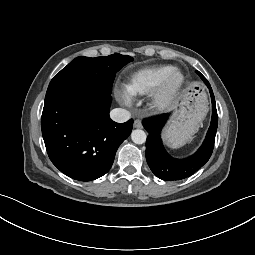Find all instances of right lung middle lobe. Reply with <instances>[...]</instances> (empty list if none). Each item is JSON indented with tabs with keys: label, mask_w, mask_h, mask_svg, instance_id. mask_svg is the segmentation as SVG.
Here are the masks:
<instances>
[{
	"label": "right lung middle lobe",
	"mask_w": 255,
	"mask_h": 255,
	"mask_svg": "<svg viewBox=\"0 0 255 255\" xmlns=\"http://www.w3.org/2000/svg\"><path fill=\"white\" fill-rule=\"evenodd\" d=\"M131 61L132 57L121 54L95 58L77 57L51 80L49 86L79 81L100 85L111 92L116 73Z\"/></svg>",
	"instance_id": "obj_1"
}]
</instances>
